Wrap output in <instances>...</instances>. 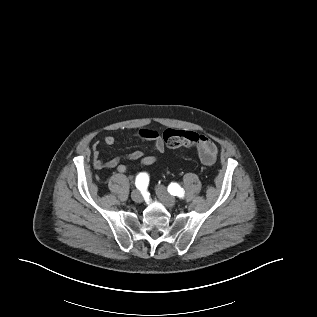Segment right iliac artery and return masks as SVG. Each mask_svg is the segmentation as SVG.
Here are the masks:
<instances>
[{
	"label": "right iliac artery",
	"instance_id": "1",
	"mask_svg": "<svg viewBox=\"0 0 317 317\" xmlns=\"http://www.w3.org/2000/svg\"><path fill=\"white\" fill-rule=\"evenodd\" d=\"M149 176L147 173H140L135 180V185L139 190H143L148 186Z\"/></svg>",
	"mask_w": 317,
	"mask_h": 317
}]
</instances>
